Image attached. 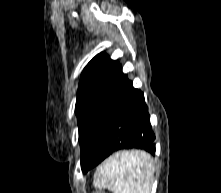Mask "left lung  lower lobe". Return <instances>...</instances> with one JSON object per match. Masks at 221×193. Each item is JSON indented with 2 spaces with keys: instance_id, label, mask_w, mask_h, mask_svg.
I'll return each instance as SVG.
<instances>
[{
  "instance_id": "left-lung-lower-lobe-1",
  "label": "left lung lower lobe",
  "mask_w": 221,
  "mask_h": 193,
  "mask_svg": "<svg viewBox=\"0 0 221 193\" xmlns=\"http://www.w3.org/2000/svg\"><path fill=\"white\" fill-rule=\"evenodd\" d=\"M155 134L143 93L125 76L109 112V124L84 166L85 173L114 152L143 149L155 155Z\"/></svg>"
}]
</instances>
